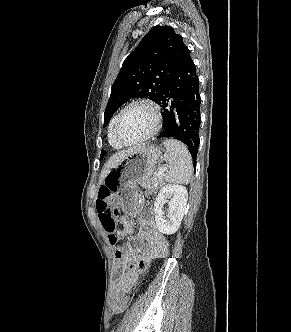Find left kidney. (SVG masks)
<instances>
[{
    "label": "left kidney",
    "mask_w": 291,
    "mask_h": 332,
    "mask_svg": "<svg viewBox=\"0 0 291 332\" xmlns=\"http://www.w3.org/2000/svg\"><path fill=\"white\" fill-rule=\"evenodd\" d=\"M187 199L188 192L185 186L167 184L160 189L154 203V213L156 225L161 233L171 235L178 230L185 213ZM165 203H168L167 216L163 211Z\"/></svg>",
    "instance_id": "1"
}]
</instances>
